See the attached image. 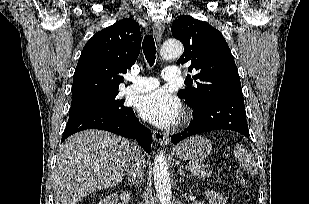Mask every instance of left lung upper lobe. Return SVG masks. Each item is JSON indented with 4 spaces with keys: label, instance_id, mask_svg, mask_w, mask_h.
Instances as JSON below:
<instances>
[{
    "label": "left lung upper lobe",
    "instance_id": "5c2ea615",
    "mask_svg": "<svg viewBox=\"0 0 309 204\" xmlns=\"http://www.w3.org/2000/svg\"><path fill=\"white\" fill-rule=\"evenodd\" d=\"M173 37L184 45L177 64L190 62L188 71L198 80L178 96L192 109L223 96H243L238 70L222 33L206 22L182 16L172 23Z\"/></svg>",
    "mask_w": 309,
    "mask_h": 204
}]
</instances>
